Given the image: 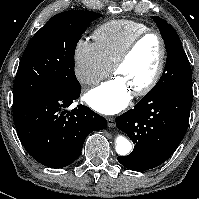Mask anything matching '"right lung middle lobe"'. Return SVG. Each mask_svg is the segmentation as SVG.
Masks as SVG:
<instances>
[{
  "label": "right lung middle lobe",
  "mask_w": 199,
  "mask_h": 199,
  "mask_svg": "<svg viewBox=\"0 0 199 199\" xmlns=\"http://www.w3.org/2000/svg\"><path fill=\"white\" fill-rule=\"evenodd\" d=\"M102 15L69 10L54 15L30 40L13 87V110L49 93L79 91L74 52L87 26Z\"/></svg>",
  "instance_id": "obj_1"
}]
</instances>
